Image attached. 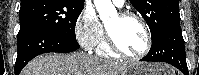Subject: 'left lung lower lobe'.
Wrapping results in <instances>:
<instances>
[{
	"instance_id": "0a47b994",
	"label": "left lung lower lobe",
	"mask_w": 199,
	"mask_h": 75,
	"mask_svg": "<svg viewBox=\"0 0 199 75\" xmlns=\"http://www.w3.org/2000/svg\"><path fill=\"white\" fill-rule=\"evenodd\" d=\"M140 61L166 62L189 75L180 23L169 25L159 38L153 40L149 53Z\"/></svg>"
}]
</instances>
